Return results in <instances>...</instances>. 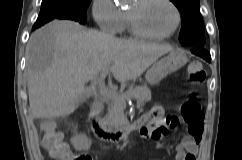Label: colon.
<instances>
[{
  "label": "colon",
  "mask_w": 242,
  "mask_h": 160,
  "mask_svg": "<svg viewBox=\"0 0 242 160\" xmlns=\"http://www.w3.org/2000/svg\"><path fill=\"white\" fill-rule=\"evenodd\" d=\"M188 78L192 83L201 84L205 81L206 72L201 62L193 61L187 68ZM181 116L188 124L189 134H196L202 127L203 112L199 102L194 95H190L182 105ZM43 145L48 150L50 156L55 160H67L69 150L67 144L63 141V135L58 126L53 121H44ZM154 137H160V132L155 131ZM74 160H91L89 155H76Z\"/></svg>",
  "instance_id": "obj_1"
}]
</instances>
